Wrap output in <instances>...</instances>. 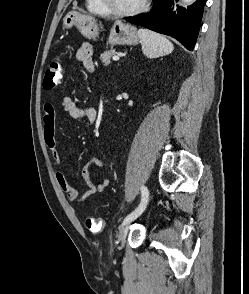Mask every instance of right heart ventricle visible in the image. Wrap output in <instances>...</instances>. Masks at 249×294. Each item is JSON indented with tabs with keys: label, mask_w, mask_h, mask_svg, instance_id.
<instances>
[{
	"label": "right heart ventricle",
	"mask_w": 249,
	"mask_h": 294,
	"mask_svg": "<svg viewBox=\"0 0 249 294\" xmlns=\"http://www.w3.org/2000/svg\"><path fill=\"white\" fill-rule=\"evenodd\" d=\"M86 7L93 14L100 16L107 15L106 10L102 7L99 0H86Z\"/></svg>",
	"instance_id": "obj_1"
}]
</instances>
